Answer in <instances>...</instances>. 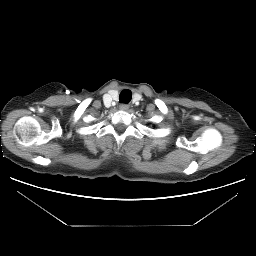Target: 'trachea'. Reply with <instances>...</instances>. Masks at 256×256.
<instances>
[{
    "instance_id": "obj_1",
    "label": "trachea",
    "mask_w": 256,
    "mask_h": 256,
    "mask_svg": "<svg viewBox=\"0 0 256 256\" xmlns=\"http://www.w3.org/2000/svg\"><path fill=\"white\" fill-rule=\"evenodd\" d=\"M132 98V93L130 90H123L119 95V102L121 103H129Z\"/></svg>"
}]
</instances>
